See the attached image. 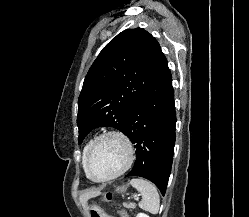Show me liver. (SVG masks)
<instances>
[{
	"instance_id": "obj_1",
	"label": "liver",
	"mask_w": 249,
	"mask_h": 217,
	"mask_svg": "<svg viewBox=\"0 0 249 217\" xmlns=\"http://www.w3.org/2000/svg\"><path fill=\"white\" fill-rule=\"evenodd\" d=\"M99 194V191L86 192L80 196V202L82 203L84 208H87V201L92 197L98 196Z\"/></svg>"
}]
</instances>
